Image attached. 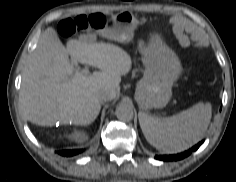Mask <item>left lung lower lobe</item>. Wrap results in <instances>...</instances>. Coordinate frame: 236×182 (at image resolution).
Returning a JSON list of instances; mask_svg holds the SVG:
<instances>
[{"mask_svg": "<svg viewBox=\"0 0 236 182\" xmlns=\"http://www.w3.org/2000/svg\"><path fill=\"white\" fill-rule=\"evenodd\" d=\"M204 141L199 142L197 145H195L194 147H192L190 150L184 152V153H180V154H176V155H162V156H155L156 159L159 160H163V161H176V160H181L185 157H187L188 155L191 154L192 151L197 150L201 144Z\"/></svg>", "mask_w": 236, "mask_h": 182, "instance_id": "obj_1", "label": "left lung lower lobe"}]
</instances>
